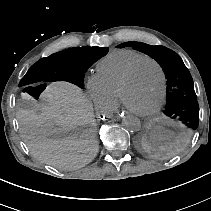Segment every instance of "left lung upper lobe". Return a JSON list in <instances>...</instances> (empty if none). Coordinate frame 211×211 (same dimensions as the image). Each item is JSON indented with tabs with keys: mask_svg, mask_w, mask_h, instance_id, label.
<instances>
[{
	"mask_svg": "<svg viewBox=\"0 0 211 211\" xmlns=\"http://www.w3.org/2000/svg\"><path fill=\"white\" fill-rule=\"evenodd\" d=\"M132 47L154 58L167 78L166 107L164 114L180 120L187 131L199 124V106L191 74L180 56L164 46H151L142 42H126L118 48Z\"/></svg>",
	"mask_w": 211,
	"mask_h": 211,
	"instance_id": "1",
	"label": "left lung upper lobe"
}]
</instances>
